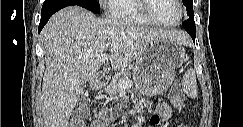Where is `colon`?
<instances>
[{"instance_id":"obj_1","label":"colon","mask_w":243,"mask_h":127,"mask_svg":"<svg viewBox=\"0 0 243 127\" xmlns=\"http://www.w3.org/2000/svg\"><path fill=\"white\" fill-rule=\"evenodd\" d=\"M170 94L173 98L184 99L181 89L177 84L172 87ZM87 114V107L85 105L79 106L74 112L72 127H84Z\"/></svg>"}]
</instances>
